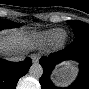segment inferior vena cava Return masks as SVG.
Returning a JSON list of instances; mask_svg holds the SVG:
<instances>
[{
	"label": "inferior vena cava",
	"instance_id": "1",
	"mask_svg": "<svg viewBox=\"0 0 89 89\" xmlns=\"http://www.w3.org/2000/svg\"><path fill=\"white\" fill-rule=\"evenodd\" d=\"M24 57L23 52L15 53V54H10L9 59L12 61H19Z\"/></svg>",
	"mask_w": 89,
	"mask_h": 89
}]
</instances>
